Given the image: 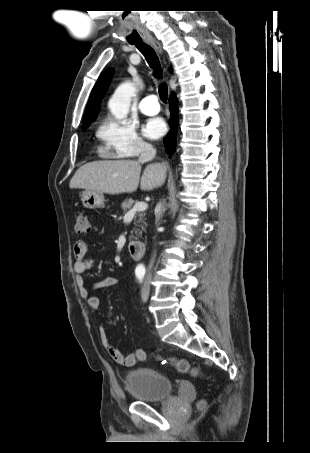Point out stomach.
Masks as SVG:
<instances>
[{
    "instance_id": "stomach-1",
    "label": "stomach",
    "mask_w": 310,
    "mask_h": 453,
    "mask_svg": "<svg viewBox=\"0 0 310 453\" xmlns=\"http://www.w3.org/2000/svg\"><path fill=\"white\" fill-rule=\"evenodd\" d=\"M81 201L85 208H101L104 206V196L101 192L85 190L81 195Z\"/></svg>"
}]
</instances>
